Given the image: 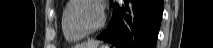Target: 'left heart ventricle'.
I'll use <instances>...</instances> for the list:
<instances>
[{"mask_svg":"<svg viewBox=\"0 0 213 48\" xmlns=\"http://www.w3.org/2000/svg\"><path fill=\"white\" fill-rule=\"evenodd\" d=\"M74 19L84 29L95 28L101 19L100 7L92 2L81 3L73 13Z\"/></svg>","mask_w":213,"mask_h":48,"instance_id":"obj_1","label":"left heart ventricle"}]
</instances>
